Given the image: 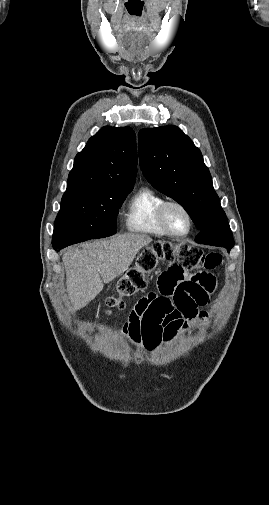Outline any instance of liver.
I'll use <instances>...</instances> for the list:
<instances>
[{"label":"liver","instance_id":"1","mask_svg":"<svg viewBox=\"0 0 269 505\" xmlns=\"http://www.w3.org/2000/svg\"><path fill=\"white\" fill-rule=\"evenodd\" d=\"M151 241L144 234H124L68 249L62 260L71 311L91 302L102 291L104 283L124 273L139 250Z\"/></svg>","mask_w":269,"mask_h":505}]
</instances>
